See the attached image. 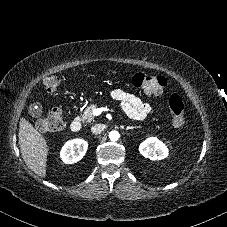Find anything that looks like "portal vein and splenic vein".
Wrapping results in <instances>:
<instances>
[{
	"label": "portal vein and splenic vein",
	"mask_w": 227,
	"mask_h": 227,
	"mask_svg": "<svg viewBox=\"0 0 227 227\" xmlns=\"http://www.w3.org/2000/svg\"><path fill=\"white\" fill-rule=\"evenodd\" d=\"M109 109L107 107H101V108H95L93 110L94 116H99L103 111H108Z\"/></svg>",
	"instance_id": "1"
}]
</instances>
